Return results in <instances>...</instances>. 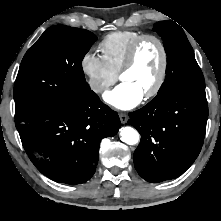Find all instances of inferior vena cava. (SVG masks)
<instances>
[{"label": "inferior vena cava", "instance_id": "inferior-vena-cava-1", "mask_svg": "<svg viewBox=\"0 0 221 221\" xmlns=\"http://www.w3.org/2000/svg\"><path fill=\"white\" fill-rule=\"evenodd\" d=\"M92 88H93L95 91H100V90H103V89H104V86H102V85H93Z\"/></svg>", "mask_w": 221, "mask_h": 221}]
</instances>
